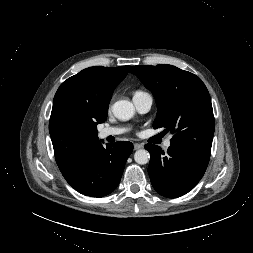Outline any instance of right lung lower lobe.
Here are the masks:
<instances>
[{
  "mask_svg": "<svg viewBox=\"0 0 253 253\" xmlns=\"http://www.w3.org/2000/svg\"><path fill=\"white\" fill-rule=\"evenodd\" d=\"M132 151L133 144L128 141H119L103 147L100 140H97L60 171L76 191L100 198L116 189Z\"/></svg>",
  "mask_w": 253,
  "mask_h": 253,
  "instance_id": "1",
  "label": "right lung lower lobe"
}]
</instances>
